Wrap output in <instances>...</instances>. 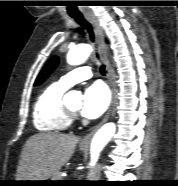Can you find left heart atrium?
<instances>
[{
	"label": "left heart atrium",
	"instance_id": "obj_1",
	"mask_svg": "<svg viewBox=\"0 0 178 186\" xmlns=\"http://www.w3.org/2000/svg\"><path fill=\"white\" fill-rule=\"evenodd\" d=\"M110 96L101 82H95L84 92L81 114L89 119L100 117L107 109Z\"/></svg>",
	"mask_w": 178,
	"mask_h": 186
}]
</instances>
